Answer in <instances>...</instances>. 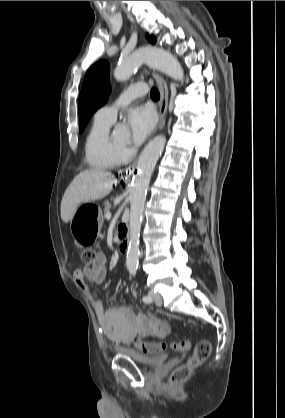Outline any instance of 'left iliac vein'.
<instances>
[{
    "mask_svg": "<svg viewBox=\"0 0 285 418\" xmlns=\"http://www.w3.org/2000/svg\"><path fill=\"white\" fill-rule=\"evenodd\" d=\"M148 296L158 305H162V298L159 294L155 293L154 291L150 290L148 292Z\"/></svg>",
    "mask_w": 285,
    "mask_h": 418,
    "instance_id": "1",
    "label": "left iliac vein"
}]
</instances>
